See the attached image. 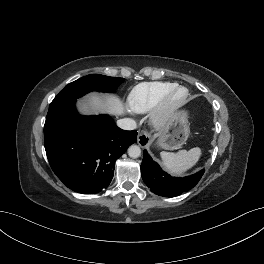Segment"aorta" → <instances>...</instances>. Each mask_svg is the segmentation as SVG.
<instances>
[{
  "instance_id": "aorta-1",
  "label": "aorta",
  "mask_w": 264,
  "mask_h": 264,
  "mask_svg": "<svg viewBox=\"0 0 264 264\" xmlns=\"http://www.w3.org/2000/svg\"><path fill=\"white\" fill-rule=\"evenodd\" d=\"M128 155L131 158H138L141 155V149H140V147L137 146V145H131L128 148Z\"/></svg>"
}]
</instances>
